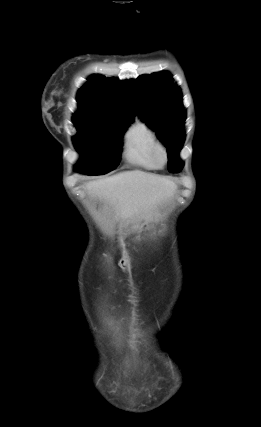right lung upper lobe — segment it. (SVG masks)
I'll use <instances>...</instances> for the list:
<instances>
[{
	"label": "right lung upper lobe",
	"mask_w": 261,
	"mask_h": 427,
	"mask_svg": "<svg viewBox=\"0 0 261 427\" xmlns=\"http://www.w3.org/2000/svg\"><path fill=\"white\" fill-rule=\"evenodd\" d=\"M79 111L74 116L133 121L136 110L128 81L93 75L77 95Z\"/></svg>",
	"instance_id": "right-lung-upper-lobe-1"
}]
</instances>
